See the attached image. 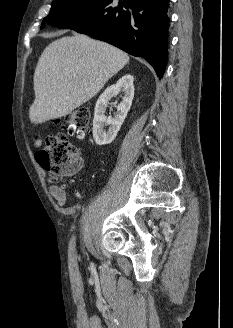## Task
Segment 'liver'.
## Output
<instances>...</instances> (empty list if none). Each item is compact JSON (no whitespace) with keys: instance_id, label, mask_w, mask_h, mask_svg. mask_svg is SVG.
Returning <instances> with one entry per match:
<instances>
[{"instance_id":"liver-1","label":"liver","mask_w":233,"mask_h":328,"mask_svg":"<svg viewBox=\"0 0 233 328\" xmlns=\"http://www.w3.org/2000/svg\"><path fill=\"white\" fill-rule=\"evenodd\" d=\"M128 61L122 50L83 34L53 41L35 69L31 122L66 116L94 97Z\"/></svg>"}]
</instances>
